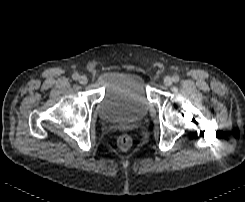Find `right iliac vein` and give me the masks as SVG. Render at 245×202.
<instances>
[{
	"label": "right iliac vein",
	"instance_id": "1",
	"mask_svg": "<svg viewBox=\"0 0 245 202\" xmlns=\"http://www.w3.org/2000/svg\"><path fill=\"white\" fill-rule=\"evenodd\" d=\"M87 82H88V78L85 75H82L79 77V83L80 84L85 85V84H87Z\"/></svg>",
	"mask_w": 245,
	"mask_h": 202
}]
</instances>
